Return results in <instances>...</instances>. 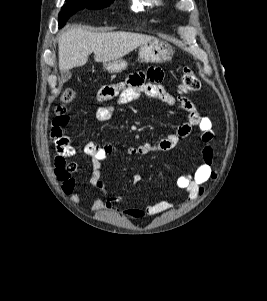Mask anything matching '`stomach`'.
Wrapping results in <instances>:
<instances>
[{
    "label": "stomach",
    "instance_id": "obj_1",
    "mask_svg": "<svg viewBox=\"0 0 267 301\" xmlns=\"http://www.w3.org/2000/svg\"><path fill=\"white\" fill-rule=\"evenodd\" d=\"M173 47L166 41L154 39L140 46L139 59L145 63H164L173 57ZM127 67L123 59L112 60L103 63V68L109 73H121Z\"/></svg>",
    "mask_w": 267,
    "mask_h": 301
}]
</instances>
